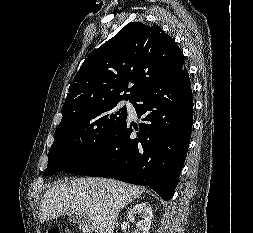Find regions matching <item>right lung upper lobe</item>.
<instances>
[{"mask_svg": "<svg viewBox=\"0 0 253 233\" xmlns=\"http://www.w3.org/2000/svg\"><path fill=\"white\" fill-rule=\"evenodd\" d=\"M184 63L176 42L158 25L129 23L81 65L69 87L63 117L104 100L133 101L161 77L180 70ZM128 91L130 94H126Z\"/></svg>", "mask_w": 253, "mask_h": 233, "instance_id": "obj_1", "label": "right lung upper lobe"}]
</instances>
